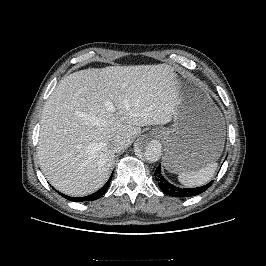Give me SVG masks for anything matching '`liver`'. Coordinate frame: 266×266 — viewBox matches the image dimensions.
Instances as JSON below:
<instances>
[{"label":"liver","mask_w":266,"mask_h":266,"mask_svg":"<svg viewBox=\"0 0 266 266\" xmlns=\"http://www.w3.org/2000/svg\"><path fill=\"white\" fill-rule=\"evenodd\" d=\"M177 86L174 68L166 64L85 69L63 78L40 122L38 158L49 183L70 196L97 191L115 157L112 138L124 136L126 148L141 127L169 123Z\"/></svg>","instance_id":"liver-1"}]
</instances>
